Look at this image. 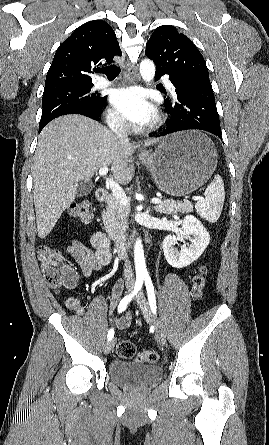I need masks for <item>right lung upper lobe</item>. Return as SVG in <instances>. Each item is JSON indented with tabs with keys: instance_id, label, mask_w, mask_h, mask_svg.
Returning <instances> with one entry per match:
<instances>
[{
	"instance_id": "obj_1",
	"label": "right lung upper lobe",
	"mask_w": 269,
	"mask_h": 445,
	"mask_svg": "<svg viewBox=\"0 0 269 445\" xmlns=\"http://www.w3.org/2000/svg\"><path fill=\"white\" fill-rule=\"evenodd\" d=\"M122 52L112 27L103 20L78 27L56 50L48 70L46 89L92 84L90 73L98 65L113 63Z\"/></svg>"
}]
</instances>
